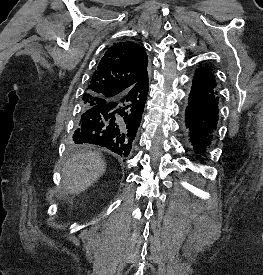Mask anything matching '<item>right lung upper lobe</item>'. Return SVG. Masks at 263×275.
<instances>
[{"mask_svg":"<svg viewBox=\"0 0 263 275\" xmlns=\"http://www.w3.org/2000/svg\"><path fill=\"white\" fill-rule=\"evenodd\" d=\"M148 58L134 42H118L105 52L87 88L90 95L104 100L116 94L128 97L130 109L142 113L148 86L144 84Z\"/></svg>","mask_w":263,"mask_h":275,"instance_id":"obj_1","label":"right lung upper lobe"}]
</instances>
